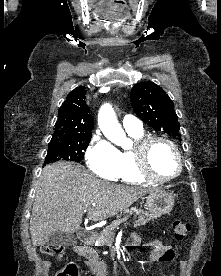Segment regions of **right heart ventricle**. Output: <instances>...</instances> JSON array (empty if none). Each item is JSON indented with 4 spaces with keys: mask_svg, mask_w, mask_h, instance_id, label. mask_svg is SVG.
Segmentation results:
<instances>
[{
    "mask_svg": "<svg viewBox=\"0 0 221 276\" xmlns=\"http://www.w3.org/2000/svg\"><path fill=\"white\" fill-rule=\"evenodd\" d=\"M136 141L144 137L143 131L128 132ZM116 179L130 184H140L146 181L137 171L133 150L120 152V166Z\"/></svg>",
    "mask_w": 221,
    "mask_h": 276,
    "instance_id": "e07e8e85",
    "label": "right heart ventricle"
}]
</instances>
